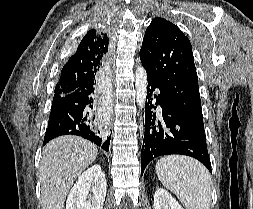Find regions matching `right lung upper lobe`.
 Masks as SVG:
<instances>
[{"label": "right lung upper lobe", "instance_id": "obj_1", "mask_svg": "<svg viewBox=\"0 0 253 209\" xmlns=\"http://www.w3.org/2000/svg\"><path fill=\"white\" fill-rule=\"evenodd\" d=\"M107 51V35L94 29L88 31L75 54L63 66L54 95L70 93L94 80Z\"/></svg>", "mask_w": 253, "mask_h": 209}]
</instances>
